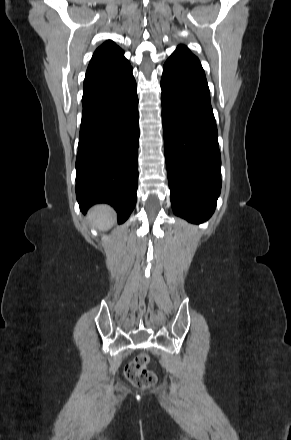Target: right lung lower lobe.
Listing matches in <instances>:
<instances>
[{"label":"right lung lower lobe","mask_w":291,"mask_h":440,"mask_svg":"<svg viewBox=\"0 0 291 440\" xmlns=\"http://www.w3.org/2000/svg\"><path fill=\"white\" fill-rule=\"evenodd\" d=\"M82 105L76 158L80 210L108 203L122 223L134 209L138 187V96L131 65L86 77Z\"/></svg>","instance_id":"98d812e1"}]
</instances>
